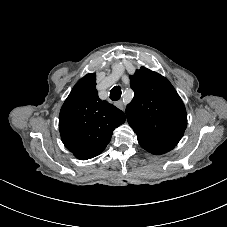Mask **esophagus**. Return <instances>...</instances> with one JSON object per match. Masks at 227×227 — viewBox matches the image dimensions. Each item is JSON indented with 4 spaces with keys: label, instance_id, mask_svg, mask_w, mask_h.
Returning <instances> with one entry per match:
<instances>
[{
    "label": "esophagus",
    "instance_id": "1",
    "mask_svg": "<svg viewBox=\"0 0 227 227\" xmlns=\"http://www.w3.org/2000/svg\"><path fill=\"white\" fill-rule=\"evenodd\" d=\"M115 106L117 107V108H119V109H123V103H122V101H117V102H115Z\"/></svg>",
    "mask_w": 227,
    "mask_h": 227
}]
</instances>
